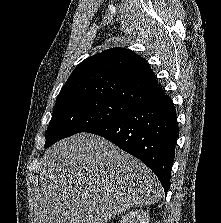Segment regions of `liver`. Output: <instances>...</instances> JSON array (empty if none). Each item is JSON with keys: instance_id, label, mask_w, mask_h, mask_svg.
<instances>
[{"instance_id": "obj_1", "label": "liver", "mask_w": 221, "mask_h": 223, "mask_svg": "<svg viewBox=\"0 0 221 223\" xmlns=\"http://www.w3.org/2000/svg\"><path fill=\"white\" fill-rule=\"evenodd\" d=\"M161 185L140 160L89 133L65 138L41 159L36 223H107L157 203Z\"/></svg>"}]
</instances>
